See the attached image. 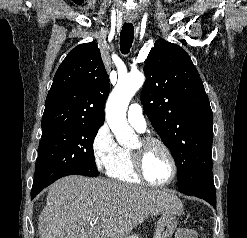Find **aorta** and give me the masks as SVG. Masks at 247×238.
Masks as SVG:
<instances>
[{"mask_svg":"<svg viewBox=\"0 0 247 238\" xmlns=\"http://www.w3.org/2000/svg\"><path fill=\"white\" fill-rule=\"evenodd\" d=\"M145 81L141 73H131L120 78L106 103L107 123L121 145H127L135 138V133L126 119L128 104Z\"/></svg>","mask_w":247,"mask_h":238,"instance_id":"obj_1","label":"aorta"}]
</instances>
